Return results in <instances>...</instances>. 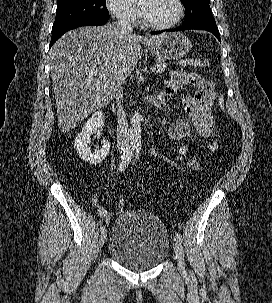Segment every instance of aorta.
<instances>
[{
	"label": "aorta",
	"mask_w": 272,
	"mask_h": 303,
	"mask_svg": "<svg viewBox=\"0 0 272 303\" xmlns=\"http://www.w3.org/2000/svg\"><path fill=\"white\" fill-rule=\"evenodd\" d=\"M130 143L139 146L141 143V115L138 111H134L130 120Z\"/></svg>",
	"instance_id": "obj_1"
}]
</instances>
